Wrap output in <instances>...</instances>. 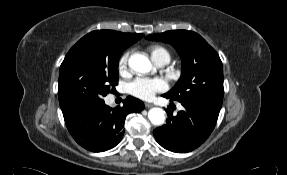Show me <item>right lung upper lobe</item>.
<instances>
[{"mask_svg": "<svg viewBox=\"0 0 287 175\" xmlns=\"http://www.w3.org/2000/svg\"><path fill=\"white\" fill-rule=\"evenodd\" d=\"M84 37L92 38L101 48L122 47L128 48L140 38L143 34L122 33L113 30L92 31Z\"/></svg>", "mask_w": 287, "mask_h": 175, "instance_id": "obj_1", "label": "right lung upper lobe"}]
</instances>
